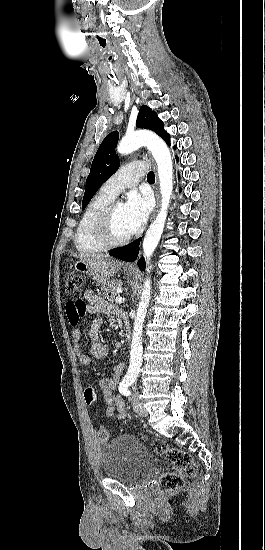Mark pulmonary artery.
Listing matches in <instances>:
<instances>
[{
	"instance_id": "pulmonary-artery-1",
	"label": "pulmonary artery",
	"mask_w": 265,
	"mask_h": 550,
	"mask_svg": "<svg viewBox=\"0 0 265 550\" xmlns=\"http://www.w3.org/2000/svg\"><path fill=\"white\" fill-rule=\"evenodd\" d=\"M145 171L146 162L144 161L125 164L102 185L101 189L115 198L123 190L136 186Z\"/></svg>"
}]
</instances>
